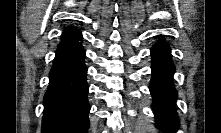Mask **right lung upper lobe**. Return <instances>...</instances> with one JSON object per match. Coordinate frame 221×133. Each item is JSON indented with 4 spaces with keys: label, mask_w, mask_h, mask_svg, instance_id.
Here are the masks:
<instances>
[{
    "label": "right lung upper lobe",
    "mask_w": 221,
    "mask_h": 133,
    "mask_svg": "<svg viewBox=\"0 0 221 133\" xmlns=\"http://www.w3.org/2000/svg\"><path fill=\"white\" fill-rule=\"evenodd\" d=\"M81 35V32L77 30L76 28H68L64 31L62 34L61 39H68V38H74L79 37Z\"/></svg>",
    "instance_id": "right-lung-upper-lobe-1"
}]
</instances>
